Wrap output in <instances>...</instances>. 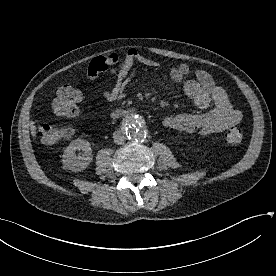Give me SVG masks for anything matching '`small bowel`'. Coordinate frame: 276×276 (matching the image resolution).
Wrapping results in <instances>:
<instances>
[{
	"mask_svg": "<svg viewBox=\"0 0 276 276\" xmlns=\"http://www.w3.org/2000/svg\"><path fill=\"white\" fill-rule=\"evenodd\" d=\"M137 63L149 67L159 65L155 60L141 55L137 49L130 48L123 56L112 53L92 59L86 69L87 81L93 83L99 74L108 72L103 97L109 102L119 101L124 98L126 88L135 76ZM189 72V66L182 63L171 68L170 76L175 83L182 84L184 93L199 109H207L211 104L214 108L201 114L182 113L168 116L163 120V125L202 136L217 134L237 125L242 119V113L232 106L223 87L204 70H197L195 79L185 80ZM112 80H115V83L110 87Z\"/></svg>",
	"mask_w": 276,
	"mask_h": 276,
	"instance_id": "c3829d8e",
	"label": "small bowel"
}]
</instances>
